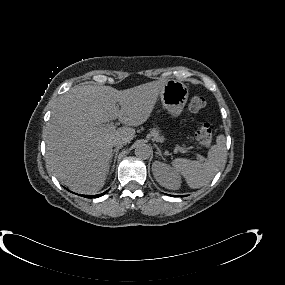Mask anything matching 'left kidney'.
Wrapping results in <instances>:
<instances>
[{
  "mask_svg": "<svg viewBox=\"0 0 285 285\" xmlns=\"http://www.w3.org/2000/svg\"><path fill=\"white\" fill-rule=\"evenodd\" d=\"M152 171L156 181L163 187L177 190L181 186V178L166 163L155 161L152 164Z\"/></svg>",
  "mask_w": 285,
  "mask_h": 285,
  "instance_id": "left-kidney-1",
  "label": "left kidney"
}]
</instances>
